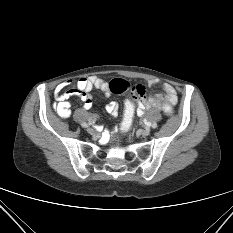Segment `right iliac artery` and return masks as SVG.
Returning a JSON list of instances; mask_svg holds the SVG:
<instances>
[{"instance_id": "obj_1", "label": "right iliac artery", "mask_w": 233, "mask_h": 233, "mask_svg": "<svg viewBox=\"0 0 233 233\" xmlns=\"http://www.w3.org/2000/svg\"><path fill=\"white\" fill-rule=\"evenodd\" d=\"M81 125H82V127H88V125L86 123H82Z\"/></svg>"}]
</instances>
